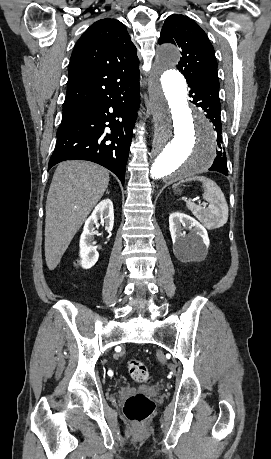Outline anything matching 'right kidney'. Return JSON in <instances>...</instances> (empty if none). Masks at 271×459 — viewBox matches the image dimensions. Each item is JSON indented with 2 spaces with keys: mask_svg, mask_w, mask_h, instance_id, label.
Wrapping results in <instances>:
<instances>
[{
  "mask_svg": "<svg viewBox=\"0 0 271 459\" xmlns=\"http://www.w3.org/2000/svg\"><path fill=\"white\" fill-rule=\"evenodd\" d=\"M104 220L105 228L108 231L113 229L114 224V210L111 200H102L95 210H93L90 218L86 220L83 233L80 237V265L84 269H89L94 263H96L99 253L94 245L96 241H93V235L96 233L94 231V226L97 224V220Z\"/></svg>",
  "mask_w": 271,
  "mask_h": 459,
  "instance_id": "ca27d5eb",
  "label": "right kidney"
}]
</instances>
